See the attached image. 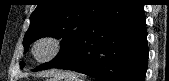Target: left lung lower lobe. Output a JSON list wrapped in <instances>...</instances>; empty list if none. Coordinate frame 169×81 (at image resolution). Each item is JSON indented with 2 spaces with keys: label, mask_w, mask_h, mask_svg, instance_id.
I'll return each instance as SVG.
<instances>
[{
  "label": "left lung lower lobe",
  "mask_w": 169,
  "mask_h": 81,
  "mask_svg": "<svg viewBox=\"0 0 169 81\" xmlns=\"http://www.w3.org/2000/svg\"><path fill=\"white\" fill-rule=\"evenodd\" d=\"M140 0H112L85 29L71 57L56 66L100 81H144L147 31Z\"/></svg>",
  "instance_id": "obj_1"
}]
</instances>
